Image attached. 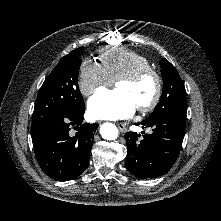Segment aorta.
Here are the masks:
<instances>
[{"label":"aorta","instance_id":"1","mask_svg":"<svg viewBox=\"0 0 221 221\" xmlns=\"http://www.w3.org/2000/svg\"><path fill=\"white\" fill-rule=\"evenodd\" d=\"M100 134L106 140H115L118 137V129L112 123H104L100 128Z\"/></svg>","mask_w":221,"mask_h":221}]
</instances>
